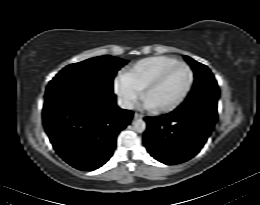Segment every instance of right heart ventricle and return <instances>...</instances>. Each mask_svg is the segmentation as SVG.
<instances>
[{
  "label": "right heart ventricle",
  "mask_w": 260,
  "mask_h": 205,
  "mask_svg": "<svg viewBox=\"0 0 260 205\" xmlns=\"http://www.w3.org/2000/svg\"><path fill=\"white\" fill-rule=\"evenodd\" d=\"M177 61L176 58L165 55L147 57L135 63L123 77L132 86L142 90L158 71Z\"/></svg>",
  "instance_id": "right-heart-ventricle-1"
}]
</instances>
